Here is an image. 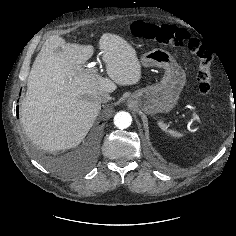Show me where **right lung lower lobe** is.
Returning <instances> with one entry per match:
<instances>
[{"label":"right lung lower lobe","instance_id":"obj_1","mask_svg":"<svg viewBox=\"0 0 236 236\" xmlns=\"http://www.w3.org/2000/svg\"><path fill=\"white\" fill-rule=\"evenodd\" d=\"M18 112H19V111H18V107H17V116H18Z\"/></svg>","mask_w":236,"mask_h":236}]
</instances>
